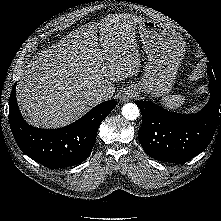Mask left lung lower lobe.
<instances>
[{
    "label": "left lung lower lobe",
    "mask_w": 221,
    "mask_h": 221,
    "mask_svg": "<svg viewBox=\"0 0 221 221\" xmlns=\"http://www.w3.org/2000/svg\"><path fill=\"white\" fill-rule=\"evenodd\" d=\"M208 76L210 99L196 114L172 113L149 101L135 102L142 114L138 138L149 156L182 164L208 146L221 127V82L215 80L209 65Z\"/></svg>",
    "instance_id": "obj_1"
}]
</instances>
